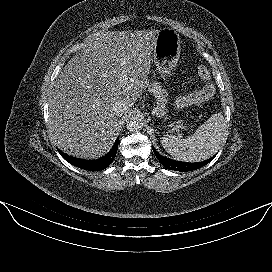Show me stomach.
Wrapping results in <instances>:
<instances>
[{"instance_id": "stomach-1", "label": "stomach", "mask_w": 272, "mask_h": 272, "mask_svg": "<svg viewBox=\"0 0 272 272\" xmlns=\"http://www.w3.org/2000/svg\"><path fill=\"white\" fill-rule=\"evenodd\" d=\"M181 52V39L176 30L163 28L159 30L153 57L156 69L162 77L172 75L177 66Z\"/></svg>"}]
</instances>
